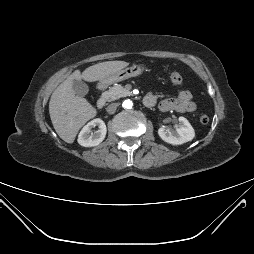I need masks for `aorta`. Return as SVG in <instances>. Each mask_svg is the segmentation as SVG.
<instances>
[{
  "label": "aorta",
  "mask_w": 254,
  "mask_h": 254,
  "mask_svg": "<svg viewBox=\"0 0 254 254\" xmlns=\"http://www.w3.org/2000/svg\"><path fill=\"white\" fill-rule=\"evenodd\" d=\"M123 108L125 109H131L133 106V103L131 100H125L122 104Z\"/></svg>",
  "instance_id": "762f6f07"
}]
</instances>
